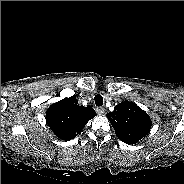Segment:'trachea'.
<instances>
[{"label": "trachea", "instance_id": "1", "mask_svg": "<svg viewBox=\"0 0 184 184\" xmlns=\"http://www.w3.org/2000/svg\"><path fill=\"white\" fill-rule=\"evenodd\" d=\"M96 106H102L103 105V97L99 94H97L94 98Z\"/></svg>", "mask_w": 184, "mask_h": 184}]
</instances>
